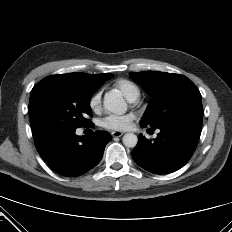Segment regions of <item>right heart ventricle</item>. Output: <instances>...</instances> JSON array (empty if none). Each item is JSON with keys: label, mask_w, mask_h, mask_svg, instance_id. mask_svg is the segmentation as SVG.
Wrapping results in <instances>:
<instances>
[{"label": "right heart ventricle", "mask_w": 232, "mask_h": 232, "mask_svg": "<svg viewBox=\"0 0 232 232\" xmlns=\"http://www.w3.org/2000/svg\"><path fill=\"white\" fill-rule=\"evenodd\" d=\"M113 87L118 89L129 101H134L140 96L139 86L129 79H118L114 82Z\"/></svg>", "instance_id": "1"}]
</instances>
